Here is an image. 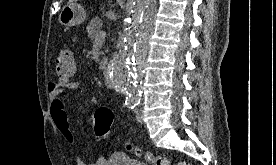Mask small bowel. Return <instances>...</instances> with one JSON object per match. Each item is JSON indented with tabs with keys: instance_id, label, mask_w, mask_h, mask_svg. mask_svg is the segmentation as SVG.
<instances>
[{
	"instance_id": "1",
	"label": "small bowel",
	"mask_w": 276,
	"mask_h": 165,
	"mask_svg": "<svg viewBox=\"0 0 276 165\" xmlns=\"http://www.w3.org/2000/svg\"><path fill=\"white\" fill-rule=\"evenodd\" d=\"M79 87L80 84L71 79H60L58 82H50L48 84L51 117L60 133L72 147L76 145L75 137L69 126L68 115L61 95L68 89H78ZM112 161L113 157L110 159L98 157L91 162H86L78 157L77 165H110Z\"/></svg>"
}]
</instances>
